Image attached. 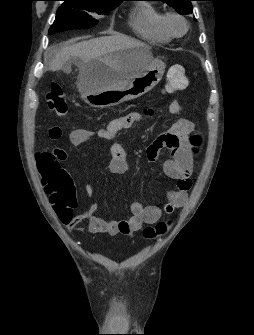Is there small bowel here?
I'll use <instances>...</instances> for the list:
<instances>
[{
    "mask_svg": "<svg viewBox=\"0 0 254 335\" xmlns=\"http://www.w3.org/2000/svg\"><path fill=\"white\" fill-rule=\"evenodd\" d=\"M166 115H182L179 98H172ZM140 119V114L132 112L111 120L103 129H75L69 134V141L73 146H79L82 143L101 139L110 145V161L108 169L114 174H123L128 170L126 152L119 143L117 136L122 130L129 129ZM193 128L191 121L181 118L177 120L170 130L157 137L146 149L149 160L154 161L163 149H168L170 158L164 163V173L177 181L176 188L167 194L168 202L163 206H143L138 201L130 204L131 217L128 220H104L95 216L98 210L97 203H91L83 212L74 214V206L64 205L61 208L59 217L62 223L68 229L75 228L83 220H89V230L93 233H105L110 236L128 235L139 231L144 224L153 225L159 221L163 214H170L176 208L183 207L187 202L188 191L191 188L190 175L193 168V159L189 145V134ZM63 133L60 127H52L49 131V137L52 140L61 139ZM67 155L64 151L60 152L59 162L65 161ZM91 188H86V195L91 196ZM50 203L53 204L49 195Z\"/></svg>",
    "mask_w": 254,
    "mask_h": 335,
    "instance_id": "1",
    "label": "small bowel"
}]
</instances>
